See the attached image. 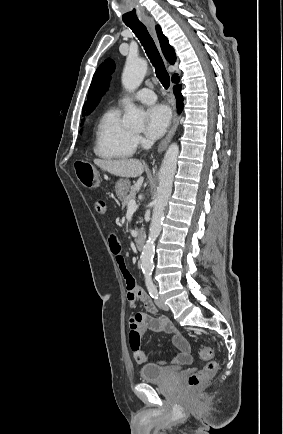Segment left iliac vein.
Masks as SVG:
<instances>
[{"label":"left iliac vein","mask_w":283,"mask_h":434,"mask_svg":"<svg viewBox=\"0 0 283 434\" xmlns=\"http://www.w3.org/2000/svg\"><path fill=\"white\" fill-rule=\"evenodd\" d=\"M155 302L160 309L165 311L169 310L168 305H166V303L161 298H157Z\"/></svg>","instance_id":"4c4485c4"}]
</instances>
